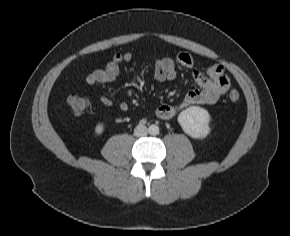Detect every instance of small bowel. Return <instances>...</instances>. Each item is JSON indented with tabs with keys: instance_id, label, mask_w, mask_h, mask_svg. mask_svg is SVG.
Listing matches in <instances>:
<instances>
[{
	"instance_id": "small-bowel-1",
	"label": "small bowel",
	"mask_w": 290,
	"mask_h": 236,
	"mask_svg": "<svg viewBox=\"0 0 290 236\" xmlns=\"http://www.w3.org/2000/svg\"><path fill=\"white\" fill-rule=\"evenodd\" d=\"M131 52L116 53L112 59L100 69L92 71L86 77V83L89 86H95L101 83L113 81L120 72V65L133 60ZM194 57L187 52H180L174 58L164 57L156 58L154 61V77L157 81H172L177 76L176 66L180 65L185 68L194 67ZM193 77L199 89L190 91L183 101L177 105H161L156 109V115L160 119H170L174 117L180 110L192 105H213L228 90L230 80L224 73L223 67L219 64L210 65L207 68V76L200 70L193 71ZM100 102L104 106H111L112 100L108 96H101ZM120 109L126 111L128 106L126 103H120Z\"/></svg>"
}]
</instances>
